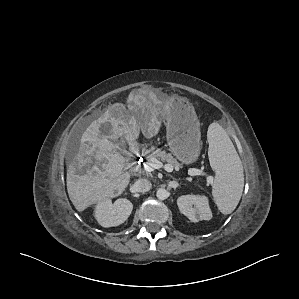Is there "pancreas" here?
<instances>
[{
	"instance_id": "cf45deb5",
	"label": "pancreas",
	"mask_w": 299,
	"mask_h": 299,
	"mask_svg": "<svg viewBox=\"0 0 299 299\" xmlns=\"http://www.w3.org/2000/svg\"><path fill=\"white\" fill-rule=\"evenodd\" d=\"M151 158H156V159L161 160L163 162H167L171 166H173L174 168L181 167V164L170 153H167V152H165L164 150H161V149H156V150L151 149L150 152L146 154L147 162ZM143 172L147 175L150 174L146 170H143Z\"/></svg>"
}]
</instances>
